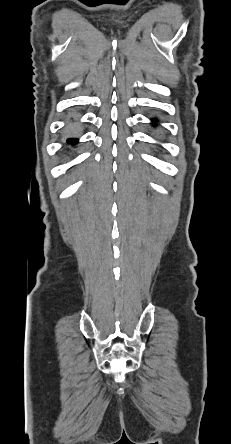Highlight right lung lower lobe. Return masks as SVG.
<instances>
[{
    "label": "right lung lower lobe",
    "instance_id": "obj_1",
    "mask_svg": "<svg viewBox=\"0 0 231 444\" xmlns=\"http://www.w3.org/2000/svg\"><path fill=\"white\" fill-rule=\"evenodd\" d=\"M67 142H68L69 144H76V143L78 142V139H75V138H69V139H67Z\"/></svg>",
    "mask_w": 231,
    "mask_h": 444
}]
</instances>
